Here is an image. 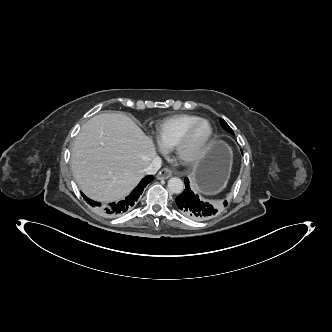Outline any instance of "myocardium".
Instances as JSON below:
<instances>
[{
	"mask_svg": "<svg viewBox=\"0 0 332 332\" xmlns=\"http://www.w3.org/2000/svg\"><path fill=\"white\" fill-rule=\"evenodd\" d=\"M207 124L208 126V134L203 142L191 153H187L186 146L189 142V139L193 133V131L200 125V124ZM214 139V128L211 122L207 119L200 118L191 124L185 132L182 134L180 139L177 141L176 145L174 146V154L175 157L179 160L180 163L193 166L197 164L206 154L208 149L210 148L212 141Z\"/></svg>",
	"mask_w": 332,
	"mask_h": 332,
	"instance_id": "1",
	"label": "myocardium"
}]
</instances>
